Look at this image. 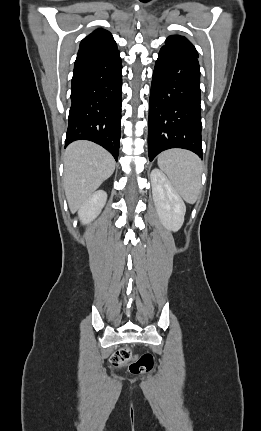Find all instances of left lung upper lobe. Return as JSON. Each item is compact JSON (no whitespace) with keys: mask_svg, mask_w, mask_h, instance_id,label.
Returning a JSON list of instances; mask_svg holds the SVG:
<instances>
[{"mask_svg":"<svg viewBox=\"0 0 261 431\" xmlns=\"http://www.w3.org/2000/svg\"><path fill=\"white\" fill-rule=\"evenodd\" d=\"M166 45L165 46H169V47H173L179 50H183L186 52H189L195 56L198 57V53L195 49V47L190 43V41L188 39H186L183 36H179V35H172L169 36L167 38V40L165 41Z\"/></svg>","mask_w":261,"mask_h":431,"instance_id":"1","label":"left lung upper lobe"}]
</instances>
